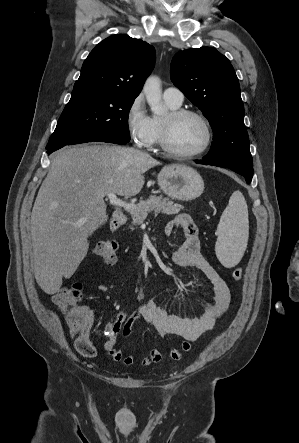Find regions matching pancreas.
<instances>
[{
  "label": "pancreas",
  "mask_w": 299,
  "mask_h": 443,
  "mask_svg": "<svg viewBox=\"0 0 299 443\" xmlns=\"http://www.w3.org/2000/svg\"><path fill=\"white\" fill-rule=\"evenodd\" d=\"M183 208L180 204H174L173 201L162 196L151 195L146 200H141L133 209L129 210L133 220V225H139L144 222L149 212L163 213L173 215L180 212Z\"/></svg>",
  "instance_id": "obj_1"
}]
</instances>
